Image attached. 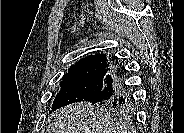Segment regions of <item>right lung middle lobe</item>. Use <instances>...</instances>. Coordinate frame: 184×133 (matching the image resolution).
I'll use <instances>...</instances> for the list:
<instances>
[{
	"label": "right lung middle lobe",
	"instance_id": "right-lung-middle-lobe-1",
	"mask_svg": "<svg viewBox=\"0 0 184 133\" xmlns=\"http://www.w3.org/2000/svg\"><path fill=\"white\" fill-rule=\"evenodd\" d=\"M104 75L96 74L88 77L68 78L60 82V91L52 105L56 110L71 103L91 102L104 88ZM97 104V103H96ZM96 108L113 116H124L131 112V103L116 105L111 103L97 104Z\"/></svg>",
	"mask_w": 184,
	"mask_h": 133
}]
</instances>
